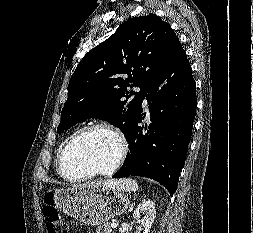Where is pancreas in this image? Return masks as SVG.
<instances>
[{
    "mask_svg": "<svg viewBox=\"0 0 253 233\" xmlns=\"http://www.w3.org/2000/svg\"><path fill=\"white\" fill-rule=\"evenodd\" d=\"M113 229L109 223L99 226L96 230V233H112Z\"/></svg>",
    "mask_w": 253,
    "mask_h": 233,
    "instance_id": "cf45deb5",
    "label": "pancreas"
}]
</instances>
